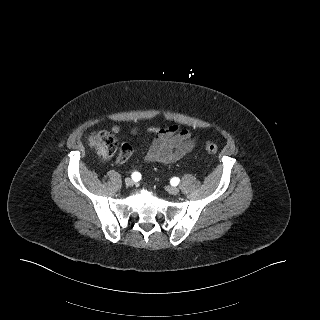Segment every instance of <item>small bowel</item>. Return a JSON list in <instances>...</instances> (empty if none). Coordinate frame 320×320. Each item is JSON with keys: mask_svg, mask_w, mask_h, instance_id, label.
<instances>
[{"mask_svg": "<svg viewBox=\"0 0 320 320\" xmlns=\"http://www.w3.org/2000/svg\"><path fill=\"white\" fill-rule=\"evenodd\" d=\"M113 133L119 134V126H113ZM134 135L139 134V130L132 129ZM148 135H156L151 142L144 157L146 163H175L189 154L196 145V140L188 130L180 129L177 126L169 128L149 127L145 131ZM122 148L127 154V159L131 155V147L125 143Z\"/></svg>", "mask_w": 320, "mask_h": 320, "instance_id": "c3829d8e", "label": "small bowel"}]
</instances>
